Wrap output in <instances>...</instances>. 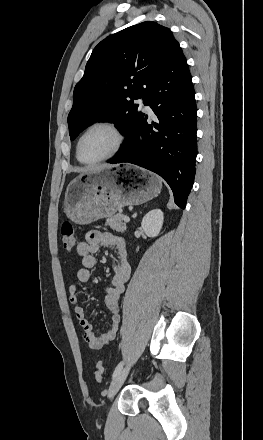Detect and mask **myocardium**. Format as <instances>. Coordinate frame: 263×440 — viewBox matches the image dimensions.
Masks as SVG:
<instances>
[{"instance_id":"1","label":"myocardium","mask_w":263,"mask_h":440,"mask_svg":"<svg viewBox=\"0 0 263 440\" xmlns=\"http://www.w3.org/2000/svg\"><path fill=\"white\" fill-rule=\"evenodd\" d=\"M96 127H107L109 129H111L114 132V134L116 135V139H117L116 144H115V147L113 148V150L109 154H107L106 156L99 158V159H96V160H93V161H85L80 156L81 142H82L83 138L85 137V135L90 130H92L93 128H96ZM125 140H126L125 133L117 122L110 120V119H100V120L94 121L83 130V132L80 134V136L77 140V143H76L77 159L79 160V162L86 164V165H95L98 163L105 162V161L113 158L114 156H116L121 151V149L123 148V146L125 144Z\"/></svg>"}]
</instances>
